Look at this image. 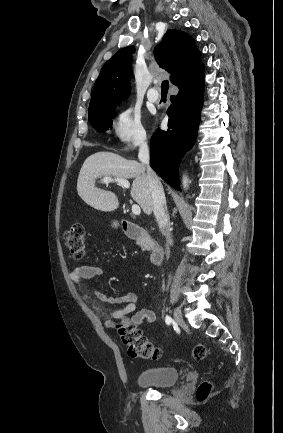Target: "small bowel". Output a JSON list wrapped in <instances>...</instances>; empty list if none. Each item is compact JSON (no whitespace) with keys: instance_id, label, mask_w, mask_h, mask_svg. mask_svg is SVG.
<instances>
[{"instance_id":"c3829d8e","label":"small bowel","mask_w":283,"mask_h":433,"mask_svg":"<svg viewBox=\"0 0 283 433\" xmlns=\"http://www.w3.org/2000/svg\"><path fill=\"white\" fill-rule=\"evenodd\" d=\"M105 272V268L100 264L89 263L80 266H74L70 270V278L81 290L84 299L89 300V295L83 290L82 282L84 280L101 277ZM95 295L99 301L111 304V305H123L122 308L115 309L110 313L104 312L96 303H92L93 307L102 312L104 315L111 319H119L124 316L131 315V322L139 326L144 322L151 325L156 320V315L153 310L149 308H138L139 297L134 292H129L120 296H109L101 290H96ZM109 327H113L114 324L111 320L107 321Z\"/></svg>"}]
</instances>
